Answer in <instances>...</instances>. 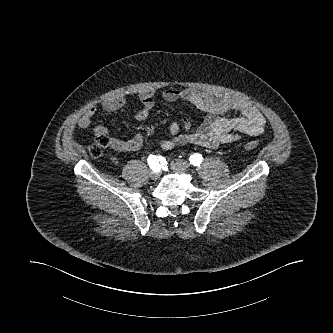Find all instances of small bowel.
I'll use <instances>...</instances> for the list:
<instances>
[{"label":"small bowel","mask_w":333,"mask_h":333,"mask_svg":"<svg viewBox=\"0 0 333 333\" xmlns=\"http://www.w3.org/2000/svg\"><path fill=\"white\" fill-rule=\"evenodd\" d=\"M155 91L146 90L137 95L141 109L137 112L135 120H146L155 105ZM165 101L174 103L186 101L206 113L203 123L195 130L191 122L184 118L180 122L170 125V136L162 139L159 145L163 149L175 146L193 144L204 148H217L221 144L238 141L243 135L257 137L264 133L265 117L250 102L237 96L204 93L191 88L169 87L162 92ZM126 103L124 97L114 96L101 102V107L107 112L122 108ZM236 111L238 115H227ZM97 109L92 107L79 119L80 128H88L96 115ZM105 134L103 127L95 129V136ZM144 143L141 134H135L129 139L109 138V146L118 152H133L139 150Z\"/></svg>","instance_id":"small-bowel-1"}]
</instances>
